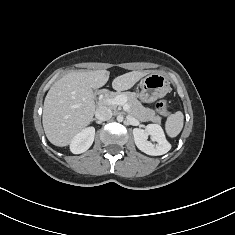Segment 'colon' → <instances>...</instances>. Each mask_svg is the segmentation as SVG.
<instances>
[{
	"instance_id": "1",
	"label": "colon",
	"mask_w": 235,
	"mask_h": 235,
	"mask_svg": "<svg viewBox=\"0 0 235 235\" xmlns=\"http://www.w3.org/2000/svg\"><path fill=\"white\" fill-rule=\"evenodd\" d=\"M156 109L160 114L167 115L168 114L167 102L165 100H160L156 104Z\"/></svg>"
}]
</instances>
